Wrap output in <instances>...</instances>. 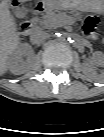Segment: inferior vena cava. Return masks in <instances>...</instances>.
Here are the masks:
<instances>
[{"label": "inferior vena cava", "instance_id": "602c4592", "mask_svg": "<svg viewBox=\"0 0 104 137\" xmlns=\"http://www.w3.org/2000/svg\"><path fill=\"white\" fill-rule=\"evenodd\" d=\"M48 34L42 30H35L30 36V40L34 44L42 43L44 40L48 38Z\"/></svg>", "mask_w": 104, "mask_h": 137}]
</instances>
